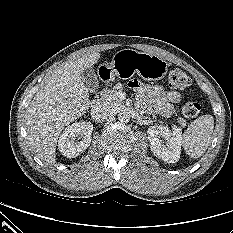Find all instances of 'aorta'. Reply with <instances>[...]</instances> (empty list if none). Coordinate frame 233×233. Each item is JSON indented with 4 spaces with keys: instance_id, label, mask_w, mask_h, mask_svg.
Wrapping results in <instances>:
<instances>
[{
    "instance_id": "obj_1",
    "label": "aorta",
    "mask_w": 233,
    "mask_h": 233,
    "mask_svg": "<svg viewBox=\"0 0 233 233\" xmlns=\"http://www.w3.org/2000/svg\"><path fill=\"white\" fill-rule=\"evenodd\" d=\"M118 120H119L121 123H128L129 120H130V115H129L126 111H121V112L118 114Z\"/></svg>"
}]
</instances>
